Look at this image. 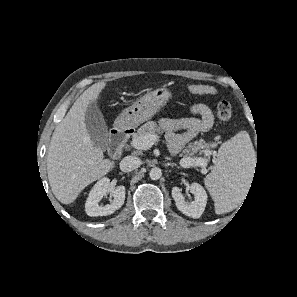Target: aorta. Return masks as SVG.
<instances>
[{
    "instance_id": "762f6f07",
    "label": "aorta",
    "mask_w": 297,
    "mask_h": 297,
    "mask_svg": "<svg viewBox=\"0 0 297 297\" xmlns=\"http://www.w3.org/2000/svg\"><path fill=\"white\" fill-rule=\"evenodd\" d=\"M149 176L152 180H158L162 176V170L158 167H154L150 170Z\"/></svg>"
}]
</instances>
